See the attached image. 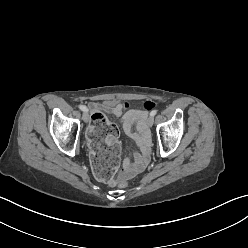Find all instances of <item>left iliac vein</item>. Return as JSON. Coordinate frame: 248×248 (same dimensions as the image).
<instances>
[{
	"mask_svg": "<svg viewBox=\"0 0 248 248\" xmlns=\"http://www.w3.org/2000/svg\"><path fill=\"white\" fill-rule=\"evenodd\" d=\"M154 123V118L152 116H149L147 119V124L149 127H151Z\"/></svg>",
	"mask_w": 248,
	"mask_h": 248,
	"instance_id": "obj_1",
	"label": "left iliac vein"
}]
</instances>
